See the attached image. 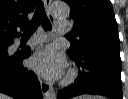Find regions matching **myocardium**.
I'll use <instances>...</instances> for the list:
<instances>
[{
	"label": "myocardium",
	"mask_w": 128,
	"mask_h": 99,
	"mask_svg": "<svg viewBox=\"0 0 128 99\" xmlns=\"http://www.w3.org/2000/svg\"><path fill=\"white\" fill-rule=\"evenodd\" d=\"M77 78V72L74 69H69L65 76L63 77L61 84L63 86H68L72 84Z\"/></svg>",
	"instance_id": "f54148a6"
}]
</instances>
